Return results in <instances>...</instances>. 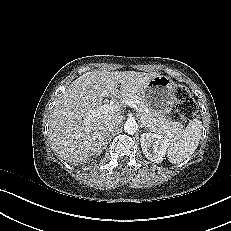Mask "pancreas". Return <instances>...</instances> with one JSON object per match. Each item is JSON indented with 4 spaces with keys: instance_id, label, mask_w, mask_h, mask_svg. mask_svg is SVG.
Instances as JSON below:
<instances>
[{
    "instance_id": "cf45deb5",
    "label": "pancreas",
    "mask_w": 231,
    "mask_h": 231,
    "mask_svg": "<svg viewBox=\"0 0 231 231\" xmlns=\"http://www.w3.org/2000/svg\"><path fill=\"white\" fill-rule=\"evenodd\" d=\"M124 100H132L137 104V115L141 122L150 131L155 133H168L170 136L177 137L182 133L183 126L177 122H171L164 116L157 112L150 110L147 105L138 96H129L123 98Z\"/></svg>"
}]
</instances>
